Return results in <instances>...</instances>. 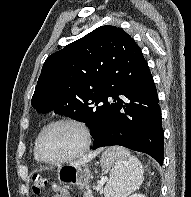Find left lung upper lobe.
<instances>
[{"instance_id":"left-lung-upper-lobe-1","label":"left lung upper lobe","mask_w":191,"mask_h":197,"mask_svg":"<svg viewBox=\"0 0 191 197\" xmlns=\"http://www.w3.org/2000/svg\"><path fill=\"white\" fill-rule=\"evenodd\" d=\"M148 68L141 49L124 30L101 26L50 55L31 105L85 122L121 83V76Z\"/></svg>"}]
</instances>
